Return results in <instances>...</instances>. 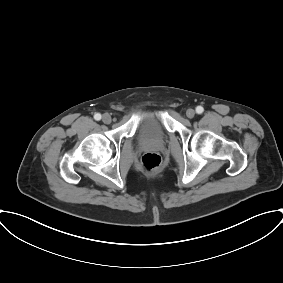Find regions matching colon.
Segmentation results:
<instances>
[{"label":"colon","mask_w":283,"mask_h":283,"mask_svg":"<svg viewBox=\"0 0 283 283\" xmlns=\"http://www.w3.org/2000/svg\"><path fill=\"white\" fill-rule=\"evenodd\" d=\"M140 166L145 172H155L161 166V157L153 152H148L142 155Z\"/></svg>","instance_id":"colon-1"}]
</instances>
